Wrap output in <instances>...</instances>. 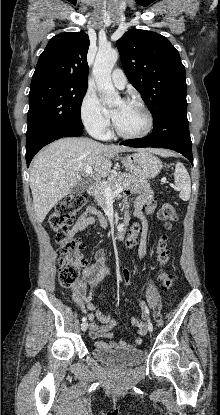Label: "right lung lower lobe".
Segmentation results:
<instances>
[{
  "label": "right lung lower lobe",
  "instance_id": "1",
  "mask_svg": "<svg viewBox=\"0 0 220 415\" xmlns=\"http://www.w3.org/2000/svg\"><path fill=\"white\" fill-rule=\"evenodd\" d=\"M83 133V129L73 131V132H64V133H47L39 138H37L31 145L26 146V162L27 167L29 166L32 158L34 155L45 145L62 138L64 136L71 137V136H79Z\"/></svg>",
  "mask_w": 220,
  "mask_h": 415
}]
</instances>
